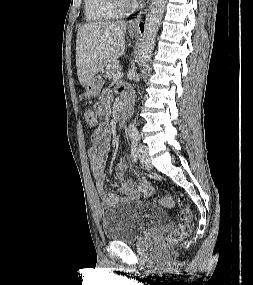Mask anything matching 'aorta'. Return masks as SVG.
Masks as SVG:
<instances>
[{
	"label": "aorta",
	"mask_w": 253,
	"mask_h": 285,
	"mask_svg": "<svg viewBox=\"0 0 253 285\" xmlns=\"http://www.w3.org/2000/svg\"><path fill=\"white\" fill-rule=\"evenodd\" d=\"M167 0H152L146 15L143 40L140 48L139 66L142 68L150 59L155 38L166 8ZM137 130L133 124H129L128 133L134 134Z\"/></svg>",
	"instance_id": "1"
}]
</instances>
